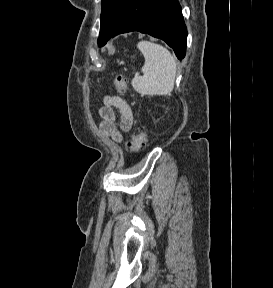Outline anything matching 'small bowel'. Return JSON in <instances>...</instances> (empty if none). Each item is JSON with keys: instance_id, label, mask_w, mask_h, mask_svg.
<instances>
[{"instance_id": "obj_1", "label": "small bowel", "mask_w": 273, "mask_h": 288, "mask_svg": "<svg viewBox=\"0 0 273 288\" xmlns=\"http://www.w3.org/2000/svg\"><path fill=\"white\" fill-rule=\"evenodd\" d=\"M115 110L119 113L118 123ZM98 113L101 118L99 124L101 133L114 142L120 143L124 134L129 132L133 125V112L128 101L118 95L105 94L103 105Z\"/></svg>"}]
</instances>
